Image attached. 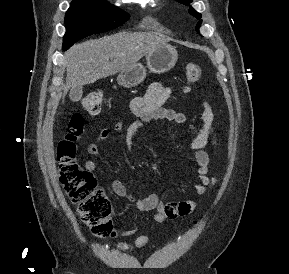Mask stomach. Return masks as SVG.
<instances>
[{
  "label": "stomach",
  "mask_w": 289,
  "mask_h": 274,
  "mask_svg": "<svg viewBox=\"0 0 289 274\" xmlns=\"http://www.w3.org/2000/svg\"><path fill=\"white\" fill-rule=\"evenodd\" d=\"M178 59L176 49L163 44L146 54L148 69L157 74L165 73L172 69ZM146 77V68L141 63H136L131 68L123 71L117 77V82L125 88H132L139 85Z\"/></svg>",
  "instance_id": "1"
}]
</instances>
